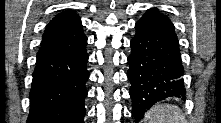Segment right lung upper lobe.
<instances>
[{"instance_id":"cb5924a9","label":"right lung upper lobe","mask_w":221,"mask_h":123,"mask_svg":"<svg viewBox=\"0 0 221 123\" xmlns=\"http://www.w3.org/2000/svg\"><path fill=\"white\" fill-rule=\"evenodd\" d=\"M82 31L79 16L75 12L67 10L58 14L47 24L42 36V44L66 40L77 36Z\"/></svg>"}]
</instances>
